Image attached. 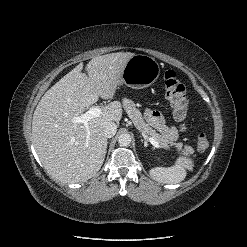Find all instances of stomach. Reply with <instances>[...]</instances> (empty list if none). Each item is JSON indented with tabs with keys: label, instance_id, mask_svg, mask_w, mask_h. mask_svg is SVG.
Instances as JSON below:
<instances>
[{
	"label": "stomach",
	"instance_id": "1",
	"mask_svg": "<svg viewBox=\"0 0 247 247\" xmlns=\"http://www.w3.org/2000/svg\"><path fill=\"white\" fill-rule=\"evenodd\" d=\"M159 75L160 67L153 57L137 54L127 61L119 84L143 89L152 85Z\"/></svg>",
	"mask_w": 247,
	"mask_h": 247
}]
</instances>
